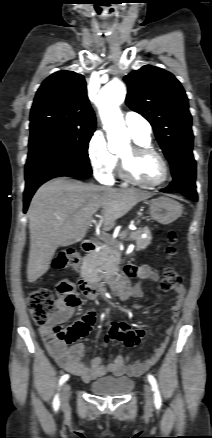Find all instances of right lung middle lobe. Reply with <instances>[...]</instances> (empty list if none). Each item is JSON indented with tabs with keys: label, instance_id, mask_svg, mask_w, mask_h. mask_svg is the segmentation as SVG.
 <instances>
[{
	"label": "right lung middle lobe",
	"instance_id": "obj_1",
	"mask_svg": "<svg viewBox=\"0 0 212 438\" xmlns=\"http://www.w3.org/2000/svg\"><path fill=\"white\" fill-rule=\"evenodd\" d=\"M93 132L59 127L33 130L26 164L68 163L90 166L88 144Z\"/></svg>",
	"mask_w": 212,
	"mask_h": 438
}]
</instances>
